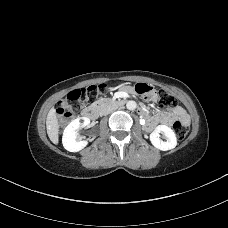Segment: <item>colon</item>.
Returning <instances> with one entry per match:
<instances>
[{"label":"colon","mask_w":228,"mask_h":228,"mask_svg":"<svg viewBox=\"0 0 228 228\" xmlns=\"http://www.w3.org/2000/svg\"><path fill=\"white\" fill-rule=\"evenodd\" d=\"M106 86L104 84L92 85L87 88L75 89L70 91L66 98L57 106L56 115L60 123H67L74 117L75 109L81 102H93L98 93L104 91ZM136 93L144 96H151L155 94L152 86L145 83H137L134 86ZM158 106L161 109H168L175 107L176 98L165 90L157 91ZM174 132L178 139L183 140L188 134V126L182 121H176L173 124Z\"/></svg>","instance_id":"5ec220e1"}]
</instances>
